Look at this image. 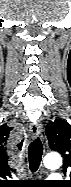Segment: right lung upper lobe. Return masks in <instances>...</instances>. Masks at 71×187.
I'll return each mask as SVG.
<instances>
[{"label": "right lung upper lobe", "instance_id": "right-lung-upper-lobe-1", "mask_svg": "<svg viewBox=\"0 0 71 187\" xmlns=\"http://www.w3.org/2000/svg\"><path fill=\"white\" fill-rule=\"evenodd\" d=\"M10 128L4 124L0 126V139H1V148H0V161L2 165V171L4 174H7L10 172V169L8 167V156L6 154V149L4 148L5 142L7 138L9 137ZM23 144V141H21L19 144H17V147L21 149Z\"/></svg>", "mask_w": 71, "mask_h": 187}]
</instances>
